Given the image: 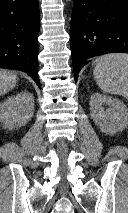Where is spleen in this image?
Segmentation results:
<instances>
[{
  "label": "spleen",
  "instance_id": "obj_1",
  "mask_svg": "<svg viewBox=\"0 0 128 213\" xmlns=\"http://www.w3.org/2000/svg\"><path fill=\"white\" fill-rule=\"evenodd\" d=\"M93 75L102 91L128 99V54L114 53L97 58Z\"/></svg>",
  "mask_w": 128,
  "mask_h": 213
}]
</instances>
